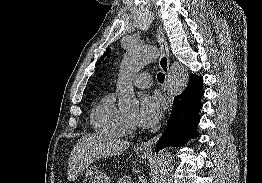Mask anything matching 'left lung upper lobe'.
Listing matches in <instances>:
<instances>
[{
    "mask_svg": "<svg viewBox=\"0 0 262 183\" xmlns=\"http://www.w3.org/2000/svg\"><path fill=\"white\" fill-rule=\"evenodd\" d=\"M109 53V50L101 57L100 61Z\"/></svg>",
    "mask_w": 262,
    "mask_h": 183,
    "instance_id": "left-lung-upper-lobe-1",
    "label": "left lung upper lobe"
}]
</instances>
